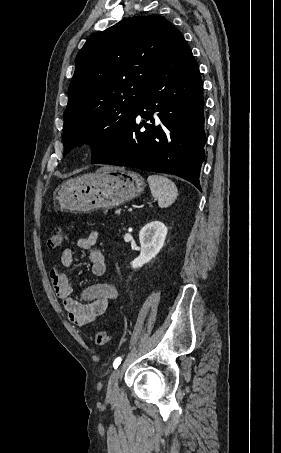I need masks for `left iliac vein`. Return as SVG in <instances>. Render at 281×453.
I'll list each match as a JSON object with an SVG mask.
<instances>
[{"label": "left iliac vein", "mask_w": 281, "mask_h": 453, "mask_svg": "<svg viewBox=\"0 0 281 453\" xmlns=\"http://www.w3.org/2000/svg\"><path fill=\"white\" fill-rule=\"evenodd\" d=\"M122 369L119 367L116 371H113L111 373V376H110V379H109V382H108V387H107V394L108 395H118L119 394V387H118V379H119V376H118V373L121 371Z\"/></svg>", "instance_id": "obj_1"}]
</instances>
